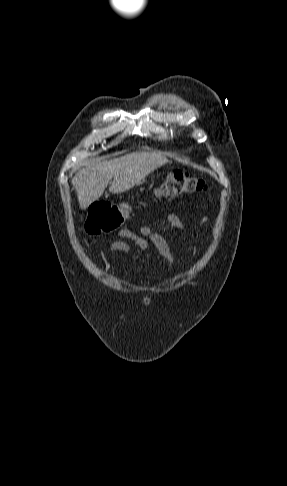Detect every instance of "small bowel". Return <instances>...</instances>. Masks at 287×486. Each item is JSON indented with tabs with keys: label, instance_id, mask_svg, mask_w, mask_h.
I'll return each instance as SVG.
<instances>
[{
	"label": "small bowel",
	"instance_id": "1",
	"mask_svg": "<svg viewBox=\"0 0 287 486\" xmlns=\"http://www.w3.org/2000/svg\"><path fill=\"white\" fill-rule=\"evenodd\" d=\"M165 220L176 229L180 230L183 239L186 240L185 226L181 219L172 212L164 213ZM119 239L110 244L112 252H120L127 255L130 252L129 242L136 245L139 249L146 251L150 246H154L165 260L166 266L170 269L174 263V255L166 240L156 233L150 226H142L138 232L123 228L118 232Z\"/></svg>",
	"mask_w": 287,
	"mask_h": 486
}]
</instances>
